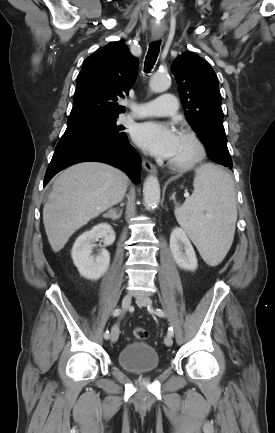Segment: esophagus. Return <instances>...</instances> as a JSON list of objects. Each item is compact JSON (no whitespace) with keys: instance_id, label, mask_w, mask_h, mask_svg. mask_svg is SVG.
Wrapping results in <instances>:
<instances>
[{"instance_id":"obj_1","label":"esophagus","mask_w":275,"mask_h":433,"mask_svg":"<svg viewBox=\"0 0 275 433\" xmlns=\"http://www.w3.org/2000/svg\"><path fill=\"white\" fill-rule=\"evenodd\" d=\"M160 36L161 35L159 33H152V40L156 41V40H158L160 38ZM142 166L149 173H153V174L157 173L156 167L151 162H149L146 159H144L142 161Z\"/></svg>"}]
</instances>
